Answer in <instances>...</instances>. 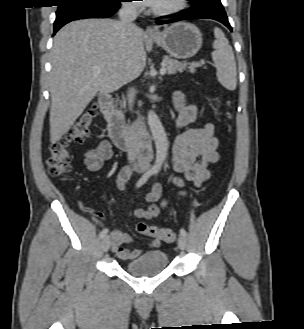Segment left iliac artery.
<instances>
[{
    "mask_svg": "<svg viewBox=\"0 0 304 329\" xmlns=\"http://www.w3.org/2000/svg\"><path fill=\"white\" fill-rule=\"evenodd\" d=\"M180 234L183 235V236H185V237L187 236V232L183 228L180 229Z\"/></svg>",
    "mask_w": 304,
    "mask_h": 329,
    "instance_id": "obj_1",
    "label": "left iliac artery"
}]
</instances>
